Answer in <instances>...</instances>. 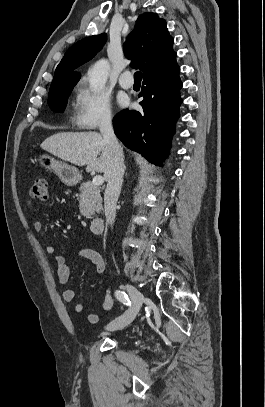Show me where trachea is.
Listing matches in <instances>:
<instances>
[{
	"mask_svg": "<svg viewBox=\"0 0 265 407\" xmlns=\"http://www.w3.org/2000/svg\"><path fill=\"white\" fill-rule=\"evenodd\" d=\"M134 80L135 81H141L142 80V73L141 72H136L135 74H134Z\"/></svg>",
	"mask_w": 265,
	"mask_h": 407,
	"instance_id": "obj_1",
	"label": "trachea"
}]
</instances>
